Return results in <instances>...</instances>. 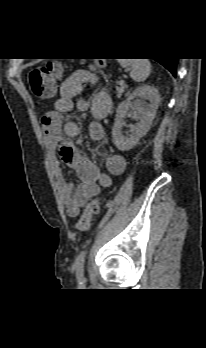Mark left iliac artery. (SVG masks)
<instances>
[{"instance_id": "obj_1", "label": "left iliac artery", "mask_w": 206, "mask_h": 348, "mask_svg": "<svg viewBox=\"0 0 206 348\" xmlns=\"http://www.w3.org/2000/svg\"><path fill=\"white\" fill-rule=\"evenodd\" d=\"M86 253H87L86 250L82 251L78 255L76 262L74 264L79 279H81L83 277V270H84V262H85Z\"/></svg>"}]
</instances>
